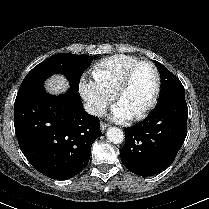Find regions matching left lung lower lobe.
Returning a JSON list of instances; mask_svg holds the SVG:
<instances>
[{
	"instance_id": "1",
	"label": "left lung lower lobe",
	"mask_w": 209,
	"mask_h": 209,
	"mask_svg": "<svg viewBox=\"0 0 209 209\" xmlns=\"http://www.w3.org/2000/svg\"><path fill=\"white\" fill-rule=\"evenodd\" d=\"M188 108L185 93H172L158 100L141 123L125 128L120 151L124 166L140 176H152L175 159L187 135Z\"/></svg>"
}]
</instances>
